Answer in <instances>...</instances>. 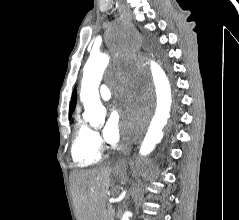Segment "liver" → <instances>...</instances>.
Listing matches in <instances>:
<instances>
[{
  "instance_id": "obj_1",
  "label": "liver",
  "mask_w": 239,
  "mask_h": 220,
  "mask_svg": "<svg viewBox=\"0 0 239 220\" xmlns=\"http://www.w3.org/2000/svg\"><path fill=\"white\" fill-rule=\"evenodd\" d=\"M110 167L71 172L73 203L77 220H102L110 187Z\"/></svg>"
}]
</instances>
